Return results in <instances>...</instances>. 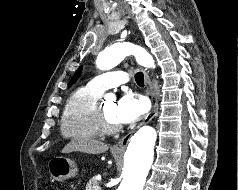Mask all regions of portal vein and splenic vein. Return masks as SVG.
I'll list each match as a JSON object with an SVG mask.
<instances>
[{"label": "portal vein and splenic vein", "instance_id": "portal-vein-and-splenic-vein-1", "mask_svg": "<svg viewBox=\"0 0 238 190\" xmlns=\"http://www.w3.org/2000/svg\"><path fill=\"white\" fill-rule=\"evenodd\" d=\"M98 190H101V187H100V186L98 187Z\"/></svg>", "mask_w": 238, "mask_h": 190}]
</instances>
